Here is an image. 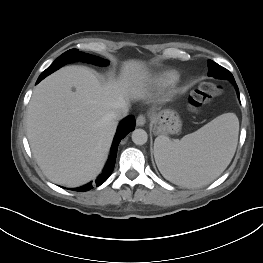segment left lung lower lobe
I'll list each match as a JSON object with an SVG mask.
<instances>
[{"instance_id":"0a47b994","label":"left lung lower lobe","mask_w":263,"mask_h":263,"mask_svg":"<svg viewBox=\"0 0 263 263\" xmlns=\"http://www.w3.org/2000/svg\"><path fill=\"white\" fill-rule=\"evenodd\" d=\"M209 75L210 76H215L216 75V71H215V69H214V65H209ZM234 85H235V88H236V90H237V94H238V96H239V91H238V87H237V85H236V83L235 82H232Z\"/></svg>"}]
</instances>
